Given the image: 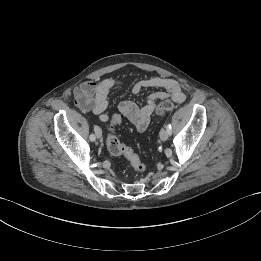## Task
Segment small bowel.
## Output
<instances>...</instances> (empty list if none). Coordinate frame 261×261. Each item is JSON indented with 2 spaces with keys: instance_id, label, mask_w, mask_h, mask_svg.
<instances>
[{
  "instance_id": "obj_1",
  "label": "small bowel",
  "mask_w": 261,
  "mask_h": 261,
  "mask_svg": "<svg viewBox=\"0 0 261 261\" xmlns=\"http://www.w3.org/2000/svg\"><path fill=\"white\" fill-rule=\"evenodd\" d=\"M115 78L107 77L100 80L86 81L74 89L75 103L83 112H91L98 116L101 122H107L110 117L105 110L108 106L110 92L117 86ZM146 88L157 89L149 95L143 105H138L130 99L119 103L120 113L126 117L139 132L147 129L156 103L171 98L174 102L182 103L186 99L178 81L167 77H152L136 81L132 86V93L138 94ZM118 114H115L116 116ZM120 116V115H119Z\"/></svg>"
}]
</instances>
